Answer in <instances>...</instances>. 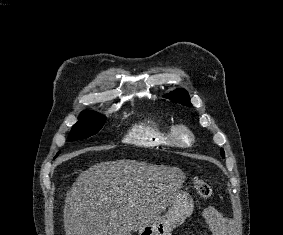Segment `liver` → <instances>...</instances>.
Listing matches in <instances>:
<instances>
[{
  "label": "liver",
  "mask_w": 283,
  "mask_h": 235,
  "mask_svg": "<svg viewBox=\"0 0 283 235\" xmlns=\"http://www.w3.org/2000/svg\"><path fill=\"white\" fill-rule=\"evenodd\" d=\"M184 179L178 167L128 159L97 163L66 195L65 234L131 235L166 210Z\"/></svg>",
  "instance_id": "6515ba94"
}]
</instances>
